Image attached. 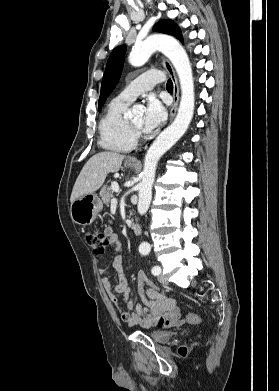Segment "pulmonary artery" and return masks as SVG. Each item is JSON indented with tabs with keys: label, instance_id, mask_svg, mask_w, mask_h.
Here are the masks:
<instances>
[{
	"label": "pulmonary artery",
	"instance_id": "pulmonary-artery-1",
	"mask_svg": "<svg viewBox=\"0 0 279 391\" xmlns=\"http://www.w3.org/2000/svg\"><path fill=\"white\" fill-rule=\"evenodd\" d=\"M164 75L159 71H147L131 81L119 94V97L129 102L139 94L151 90L157 83L163 81Z\"/></svg>",
	"mask_w": 279,
	"mask_h": 391
}]
</instances>
